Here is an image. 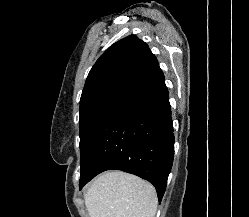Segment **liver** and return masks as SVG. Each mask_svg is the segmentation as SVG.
Wrapping results in <instances>:
<instances>
[{
	"instance_id": "6515ba94",
	"label": "liver",
	"mask_w": 249,
	"mask_h": 217,
	"mask_svg": "<svg viewBox=\"0 0 249 217\" xmlns=\"http://www.w3.org/2000/svg\"><path fill=\"white\" fill-rule=\"evenodd\" d=\"M89 217H155V188L141 178L121 171L97 177L84 196Z\"/></svg>"
}]
</instances>
